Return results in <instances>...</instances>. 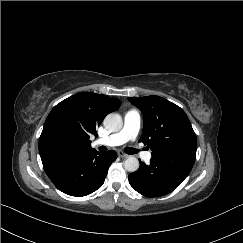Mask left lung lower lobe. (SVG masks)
I'll list each match as a JSON object with an SVG mask.
<instances>
[{
  "label": "left lung lower lobe",
  "instance_id": "obj_1",
  "mask_svg": "<svg viewBox=\"0 0 243 243\" xmlns=\"http://www.w3.org/2000/svg\"><path fill=\"white\" fill-rule=\"evenodd\" d=\"M196 150H174L152 156L150 164L140 161L136 172L129 174L130 185L147 197L172 192L187 177L195 162Z\"/></svg>",
  "mask_w": 243,
  "mask_h": 243
}]
</instances>
